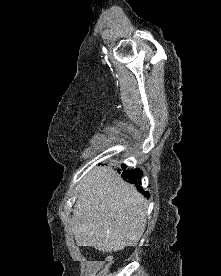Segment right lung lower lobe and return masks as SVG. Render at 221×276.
<instances>
[{
	"label": "right lung lower lobe",
	"mask_w": 221,
	"mask_h": 276,
	"mask_svg": "<svg viewBox=\"0 0 221 276\" xmlns=\"http://www.w3.org/2000/svg\"><path fill=\"white\" fill-rule=\"evenodd\" d=\"M126 165L122 164V177L125 181H127L128 183L131 184H135L137 189L142 192L147 198L149 197L148 192H144V190L142 189V187L139 186L140 184V179L142 177V171L140 169H131V170H126L125 169ZM118 172H120V170H117Z\"/></svg>",
	"instance_id": "98d812e1"
}]
</instances>
